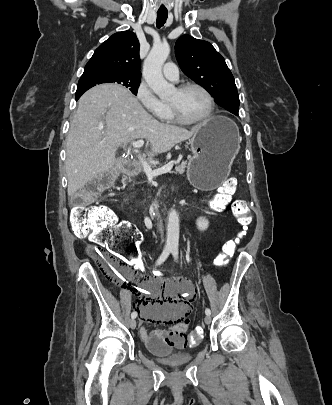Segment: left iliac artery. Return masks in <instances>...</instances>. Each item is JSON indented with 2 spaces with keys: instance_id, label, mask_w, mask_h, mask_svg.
I'll list each match as a JSON object with an SVG mask.
<instances>
[{
  "instance_id": "left-iliac-artery-1",
  "label": "left iliac artery",
  "mask_w": 332,
  "mask_h": 405,
  "mask_svg": "<svg viewBox=\"0 0 332 405\" xmlns=\"http://www.w3.org/2000/svg\"><path fill=\"white\" fill-rule=\"evenodd\" d=\"M172 255L174 257L175 260H178V248L177 247H173L172 250ZM205 314L206 315H210L211 314V310L209 308L205 309Z\"/></svg>"
}]
</instances>
